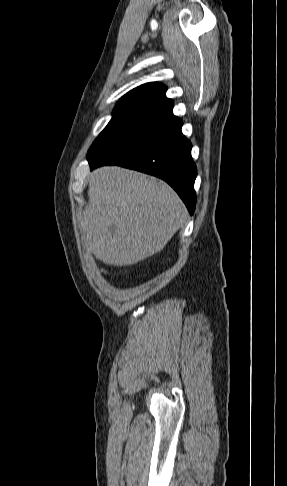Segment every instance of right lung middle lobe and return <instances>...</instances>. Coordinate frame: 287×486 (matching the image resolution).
<instances>
[{
  "label": "right lung middle lobe",
  "mask_w": 287,
  "mask_h": 486,
  "mask_svg": "<svg viewBox=\"0 0 287 486\" xmlns=\"http://www.w3.org/2000/svg\"><path fill=\"white\" fill-rule=\"evenodd\" d=\"M171 115V111L153 107H115L111 121L87 153L89 164L126 146Z\"/></svg>",
  "instance_id": "right-lung-middle-lobe-1"
}]
</instances>
